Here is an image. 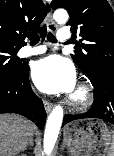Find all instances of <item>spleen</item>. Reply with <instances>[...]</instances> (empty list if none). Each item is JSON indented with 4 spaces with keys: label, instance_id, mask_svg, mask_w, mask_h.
<instances>
[{
    "label": "spleen",
    "instance_id": "3e777b00",
    "mask_svg": "<svg viewBox=\"0 0 114 156\" xmlns=\"http://www.w3.org/2000/svg\"><path fill=\"white\" fill-rule=\"evenodd\" d=\"M113 134H114V132H113ZM107 156H114V142L112 143V146L108 150Z\"/></svg>",
    "mask_w": 114,
    "mask_h": 156
}]
</instances>
